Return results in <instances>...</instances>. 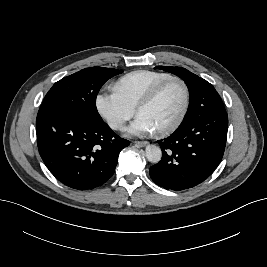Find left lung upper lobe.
Masks as SVG:
<instances>
[{"label":"left lung upper lobe","instance_id":"left-lung-upper-lobe-1","mask_svg":"<svg viewBox=\"0 0 267 267\" xmlns=\"http://www.w3.org/2000/svg\"><path fill=\"white\" fill-rule=\"evenodd\" d=\"M157 68L173 73L183 79L190 92V105L185 118L178 128L193 122L199 115L200 107L206 106L227 114L223 102L215 88L206 80L181 67L157 66Z\"/></svg>","mask_w":267,"mask_h":267}]
</instances>
